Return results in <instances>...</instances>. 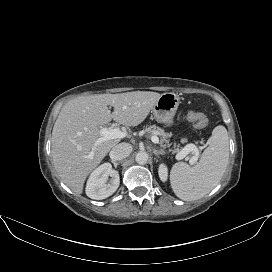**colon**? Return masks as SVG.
I'll list each match as a JSON object with an SVG mask.
<instances>
[{"label": "colon", "mask_w": 272, "mask_h": 272, "mask_svg": "<svg viewBox=\"0 0 272 272\" xmlns=\"http://www.w3.org/2000/svg\"><path fill=\"white\" fill-rule=\"evenodd\" d=\"M187 119L198 129H203L208 124L205 114L199 111H190L187 115Z\"/></svg>", "instance_id": "5ec220e1"}]
</instances>
